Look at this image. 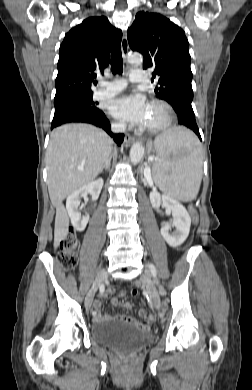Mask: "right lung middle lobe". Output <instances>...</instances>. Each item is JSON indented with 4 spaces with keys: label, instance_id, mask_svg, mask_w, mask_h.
<instances>
[{
    "label": "right lung middle lobe",
    "instance_id": "1",
    "mask_svg": "<svg viewBox=\"0 0 252 390\" xmlns=\"http://www.w3.org/2000/svg\"><path fill=\"white\" fill-rule=\"evenodd\" d=\"M97 104L98 103L93 102L92 94L79 95L59 101H54L55 110L76 107L87 110L100 111V109L96 107Z\"/></svg>",
    "mask_w": 252,
    "mask_h": 390
}]
</instances>
